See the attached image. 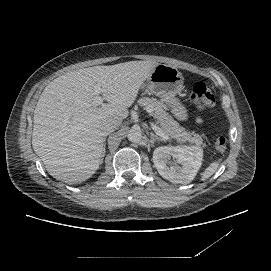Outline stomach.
<instances>
[{
  "label": "stomach",
  "mask_w": 271,
  "mask_h": 271,
  "mask_svg": "<svg viewBox=\"0 0 271 271\" xmlns=\"http://www.w3.org/2000/svg\"><path fill=\"white\" fill-rule=\"evenodd\" d=\"M149 91L165 102L170 114L178 121L187 122L189 112L186 105L178 97L183 90V76L174 66L158 64L148 78Z\"/></svg>",
  "instance_id": "1"
}]
</instances>
